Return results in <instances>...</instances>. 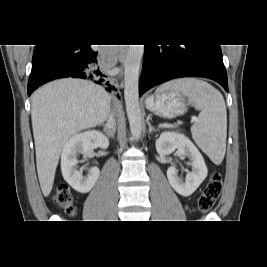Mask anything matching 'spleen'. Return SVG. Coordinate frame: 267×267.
<instances>
[{
	"label": "spleen",
	"instance_id": "1",
	"mask_svg": "<svg viewBox=\"0 0 267 267\" xmlns=\"http://www.w3.org/2000/svg\"><path fill=\"white\" fill-rule=\"evenodd\" d=\"M180 90L189 102L201 110L198 121L191 127L197 146L211 159L220 164L226 152L227 112L222 94L209 83L196 78H182L163 84L157 89Z\"/></svg>",
	"mask_w": 267,
	"mask_h": 267
}]
</instances>
